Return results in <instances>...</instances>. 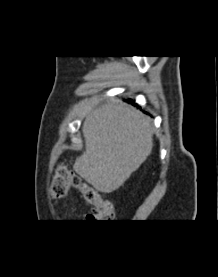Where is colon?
Returning <instances> with one entry per match:
<instances>
[{
    "mask_svg": "<svg viewBox=\"0 0 218 277\" xmlns=\"http://www.w3.org/2000/svg\"><path fill=\"white\" fill-rule=\"evenodd\" d=\"M70 187L78 190L84 200L92 206L87 215L89 222H105L114 218L113 202L105 198L92 186L84 182L77 174L64 165H59L52 178L50 196L59 199L65 196Z\"/></svg>",
    "mask_w": 218,
    "mask_h": 277,
    "instance_id": "5ec220e1",
    "label": "colon"
}]
</instances>
